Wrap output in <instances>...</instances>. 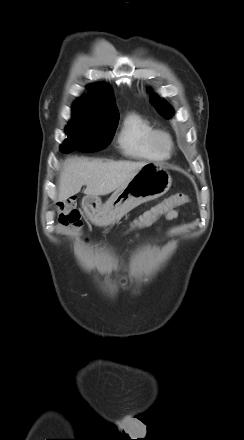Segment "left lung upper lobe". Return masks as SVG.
I'll use <instances>...</instances> for the list:
<instances>
[{"mask_svg": "<svg viewBox=\"0 0 244 440\" xmlns=\"http://www.w3.org/2000/svg\"><path fill=\"white\" fill-rule=\"evenodd\" d=\"M151 103L156 107L157 111L164 117L170 118V113H174L173 108L156 94L151 95Z\"/></svg>", "mask_w": 244, "mask_h": 440, "instance_id": "5c2ea615", "label": "left lung upper lobe"}]
</instances>
